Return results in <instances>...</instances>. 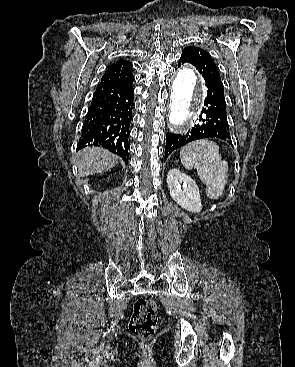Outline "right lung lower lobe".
<instances>
[{
	"label": "right lung lower lobe",
	"mask_w": 295,
	"mask_h": 367,
	"mask_svg": "<svg viewBox=\"0 0 295 367\" xmlns=\"http://www.w3.org/2000/svg\"><path fill=\"white\" fill-rule=\"evenodd\" d=\"M133 80L99 84L77 150L86 146H102L128 162V139L134 107Z\"/></svg>",
	"instance_id": "right-lung-lower-lobe-1"
}]
</instances>
